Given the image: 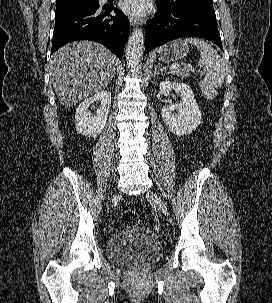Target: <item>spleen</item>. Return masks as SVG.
<instances>
[{
    "label": "spleen",
    "mask_w": 272,
    "mask_h": 303,
    "mask_svg": "<svg viewBox=\"0 0 272 303\" xmlns=\"http://www.w3.org/2000/svg\"><path fill=\"white\" fill-rule=\"evenodd\" d=\"M184 43L195 45L200 52L198 65L206 72V76L199 82V88L207 99L217 96L216 89L224 83L226 62L217 51L206 41L199 38H187Z\"/></svg>",
    "instance_id": "obj_1"
}]
</instances>
